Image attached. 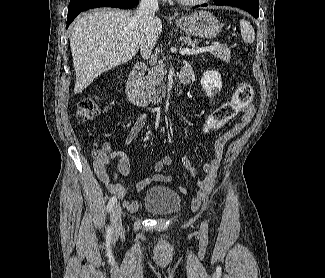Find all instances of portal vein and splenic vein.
Instances as JSON below:
<instances>
[{"label": "portal vein and splenic vein", "mask_w": 325, "mask_h": 278, "mask_svg": "<svg viewBox=\"0 0 325 278\" xmlns=\"http://www.w3.org/2000/svg\"><path fill=\"white\" fill-rule=\"evenodd\" d=\"M217 47H218V43H213L210 46L193 48V49L183 48L180 51V54L182 56L183 55H198V54L203 53V52H206V51H212V50L216 49Z\"/></svg>", "instance_id": "18ae733b"}]
</instances>
